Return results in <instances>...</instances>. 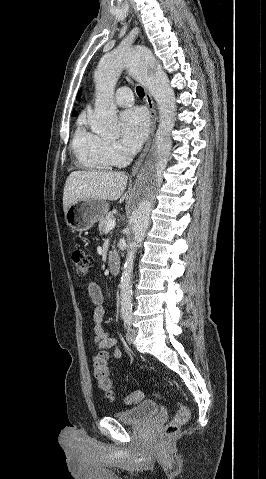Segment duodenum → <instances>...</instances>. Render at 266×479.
Returning a JSON list of instances; mask_svg holds the SVG:
<instances>
[{
  "instance_id": "duodenum-1",
  "label": "duodenum",
  "mask_w": 266,
  "mask_h": 479,
  "mask_svg": "<svg viewBox=\"0 0 266 479\" xmlns=\"http://www.w3.org/2000/svg\"><path fill=\"white\" fill-rule=\"evenodd\" d=\"M108 260L111 275H118L121 267V259L119 253L116 250H111L108 255Z\"/></svg>"
}]
</instances>
